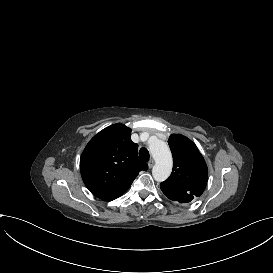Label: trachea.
<instances>
[{
	"label": "trachea",
	"mask_w": 273,
	"mask_h": 273,
	"mask_svg": "<svg viewBox=\"0 0 273 273\" xmlns=\"http://www.w3.org/2000/svg\"><path fill=\"white\" fill-rule=\"evenodd\" d=\"M149 157H150V155H149V152H148V150H147L146 148H141V149L139 150V158H140L141 160H143V161H148V160H149Z\"/></svg>",
	"instance_id": "obj_1"
}]
</instances>
